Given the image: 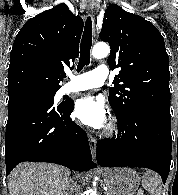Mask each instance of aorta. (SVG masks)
Wrapping results in <instances>:
<instances>
[{
  "label": "aorta",
  "mask_w": 178,
  "mask_h": 195,
  "mask_svg": "<svg viewBox=\"0 0 178 195\" xmlns=\"http://www.w3.org/2000/svg\"><path fill=\"white\" fill-rule=\"evenodd\" d=\"M110 53V48L106 43H97L92 50V55L95 59H101L106 57ZM90 195H97L96 190H90Z\"/></svg>",
  "instance_id": "obj_1"
}]
</instances>
